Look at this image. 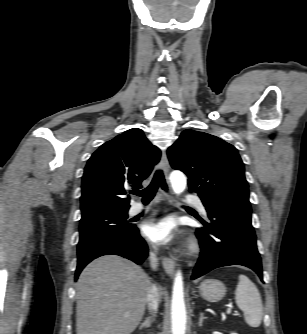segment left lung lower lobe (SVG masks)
<instances>
[{
    "instance_id": "1",
    "label": "left lung lower lobe",
    "mask_w": 307,
    "mask_h": 334,
    "mask_svg": "<svg viewBox=\"0 0 307 334\" xmlns=\"http://www.w3.org/2000/svg\"><path fill=\"white\" fill-rule=\"evenodd\" d=\"M209 223L197 228L201 254L191 279L222 266L242 265L254 270L262 280L261 258L251 215L221 209L207 211Z\"/></svg>"
}]
</instances>
